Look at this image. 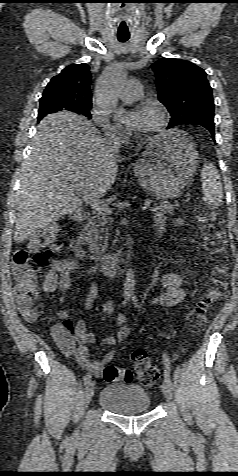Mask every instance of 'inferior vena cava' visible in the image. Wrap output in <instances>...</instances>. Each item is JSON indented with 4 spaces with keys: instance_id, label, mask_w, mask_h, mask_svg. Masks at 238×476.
<instances>
[{
    "instance_id": "inferior-vena-cava-1",
    "label": "inferior vena cava",
    "mask_w": 238,
    "mask_h": 476,
    "mask_svg": "<svg viewBox=\"0 0 238 476\" xmlns=\"http://www.w3.org/2000/svg\"><path fill=\"white\" fill-rule=\"evenodd\" d=\"M107 148L112 153H117L120 148V140L114 133H106V137L104 139Z\"/></svg>"
}]
</instances>
